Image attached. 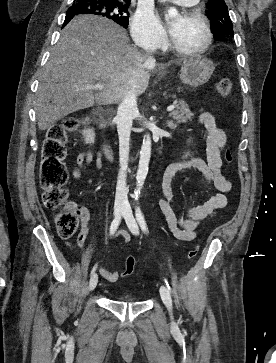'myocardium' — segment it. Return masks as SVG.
I'll list each match as a JSON object with an SVG mask.
<instances>
[{
  "instance_id": "obj_1",
  "label": "myocardium",
  "mask_w": 276,
  "mask_h": 363,
  "mask_svg": "<svg viewBox=\"0 0 276 363\" xmlns=\"http://www.w3.org/2000/svg\"><path fill=\"white\" fill-rule=\"evenodd\" d=\"M185 16L200 21L205 29L206 38L203 45L200 48L194 50H188L181 48L179 45L176 44L174 39L172 38L170 41L171 49L176 52L177 54L184 56V57H199L203 55L211 46L213 41V33L211 29L210 22L208 18L202 14L201 12L190 9L185 12Z\"/></svg>"
}]
</instances>
